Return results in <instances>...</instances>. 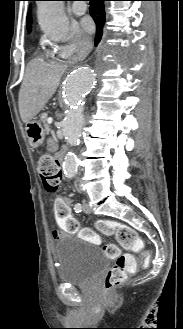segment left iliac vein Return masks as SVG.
Masks as SVG:
<instances>
[{"label": "left iliac vein", "mask_w": 183, "mask_h": 329, "mask_svg": "<svg viewBox=\"0 0 183 329\" xmlns=\"http://www.w3.org/2000/svg\"><path fill=\"white\" fill-rule=\"evenodd\" d=\"M83 211L86 214H90L91 213V208H90V206H89V204L87 202H84L83 203Z\"/></svg>", "instance_id": "obj_1"}]
</instances>
